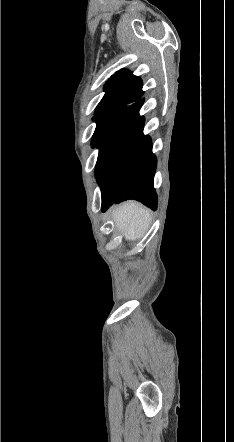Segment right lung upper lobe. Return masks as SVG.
<instances>
[{"mask_svg": "<svg viewBox=\"0 0 234 442\" xmlns=\"http://www.w3.org/2000/svg\"><path fill=\"white\" fill-rule=\"evenodd\" d=\"M142 80L128 70L116 72L105 84L104 97L96 107L95 117L117 115L143 96Z\"/></svg>", "mask_w": 234, "mask_h": 442, "instance_id": "cb5924a9", "label": "right lung upper lobe"}]
</instances>
